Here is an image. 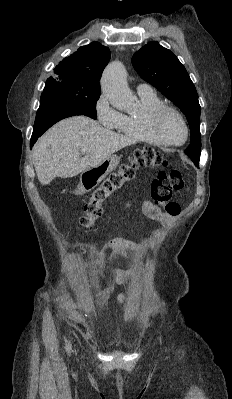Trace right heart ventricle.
Segmentation results:
<instances>
[{"instance_id":"e07e8e85","label":"right heart ventricle","mask_w":232,"mask_h":399,"mask_svg":"<svg viewBox=\"0 0 232 399\" xmlns=\"http://www.w3.org/2000/svg\"><path fill=\"white\" fill-rule=\"evenodd\" d=\"M164 105L155 94H141V110L137 115H122L116 131L126 140L132 143H140L161 149L169 145L156 138L149 128V117L153 111Z\"/></svg>"}]
</instances>
